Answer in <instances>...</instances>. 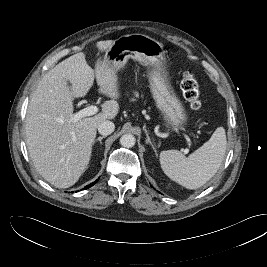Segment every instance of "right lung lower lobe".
<instances>
[{"label": "right lung lower lobe", "mask_w": 267, "mask_h": 267, "mask_svg": "<svg viewBox=\"0 0 267 267\" xmlns=\"http://www.w3.org/2000/svg\"><path fill=\"white\" fill-rule=\"evenodd\" d=\"M95 183H96V182H93V183H91V184L87 185V186H86L84 189H87V188H89V187L93 186Z\"/></svg>", "instance_id": "98d812e1"}]
</instances>
